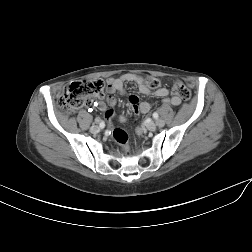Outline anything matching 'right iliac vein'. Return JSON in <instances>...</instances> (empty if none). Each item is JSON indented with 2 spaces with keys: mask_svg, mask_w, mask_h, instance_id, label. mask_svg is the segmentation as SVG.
<instances>
[{
  "mask_svg": "<svg viewBox=\"0 0 252 252\" xmlns=\"http://www.w3.org/2000/svg\"><path fill=\"white\" fill-rule=\"evenodd\" d=\"M90 132L93 133V134H97L100 132V127L99 126H91L90 128Z\"/></svg>",
  "mask_w": 252,
  "mask_h": 252,
  "instance_id": "63e3f726",
  "label": "right iliac vein"
}]
</instances>
